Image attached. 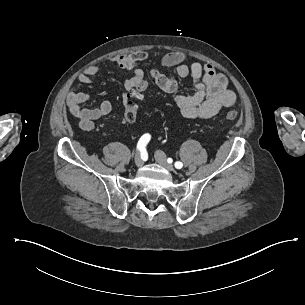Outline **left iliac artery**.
<instances>
[{
  "mask_svg": "<svg viewBox=\"0 0 305 305\" xmlns=\"http://www.w3.org/2000/svg\"><path fill=\"white\" fill-rule=\"evenodd\" d=\"M168 163H169V161H167ZM175 167L177 168V169H181L182 168V166H183V164L181 163V162H179V161H177V162H175Z\"/></svg>",
  "mask_w": 305,
  "mask_h": 305,
  "instance_id": "1",
  "label": "left iliac artery"
}]
</instances>
